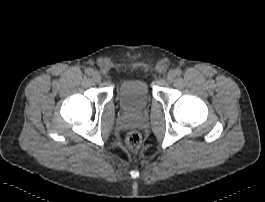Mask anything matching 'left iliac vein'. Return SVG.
<instances>
[{"label":"left iliac vein","instance_id":"1","mask_svg":"<svg viewBox=\"0 0 265 202\" xmlns=\"http://www.w3.org/2000/svg\"><path fill=\"white\" fill-rule=\"evenodd\" d=\"M176 77L175 70H170L167 74V81L168 82H173Z\"/></svg>","mask_w":265,"mask_h":202}]
</instances>
